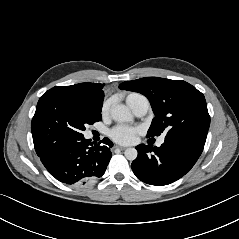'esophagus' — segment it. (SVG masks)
<instances>
[{"mask_svg":"<svg viewBox=\"0 0 239 239\" xmlns=\"http://www.w3.org/2000/svg\"><path fill=\"white\" fill-rule=\"evenodd\" d=\"M115 148L120 149V150H125V149H126V147H124V146H119V145H116Z\"/></svg>","mask_w":239,"mask_h":239,"instance_id":"34e87169","label":"esophagus"}]
</instances>
